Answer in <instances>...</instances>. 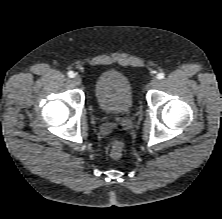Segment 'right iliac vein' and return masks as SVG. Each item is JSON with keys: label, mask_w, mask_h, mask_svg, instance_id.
<instances>
[{"label": "right iliac vein", "mask_w": 222, "mask_h": 219, "mask_svg": "<svg viewBox=\"0 0 222 219\" xmlns=\"http://www.w3.org/2000/svg\"><path fill=\"white\" fill-rule=\"evenodd\" d=\"M72 81H73V84L76 85V86H79L82 82L81 77L78 76V75L75 76Z\"/></svg>", "instance_id": "1"}]
</instances>
